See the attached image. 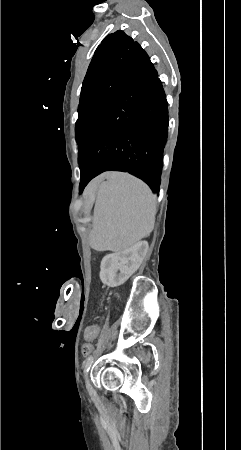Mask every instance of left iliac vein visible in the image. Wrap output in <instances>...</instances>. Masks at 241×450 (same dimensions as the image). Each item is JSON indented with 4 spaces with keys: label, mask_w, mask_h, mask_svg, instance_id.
Segmentation results:
<instances>
[{
    "label": "left iliac vein",
    "mask_w": 241,
    "mask_h": 450,
    "mask_svg": "<svg viewBox=\"0 0 241 450\" xmlns=\"http://www.w3.org/2000/svg\"><path fill=\"white\" fill-rule=\"evenodd\" d=\"M86 387H87V391L89 392V394H90V395H93V394H94V390H93V388L91 387V385H90V383H89V380L86 381Z\"/></svg>",
    "instance_id": "4c4485c4"
}]
</instances>
